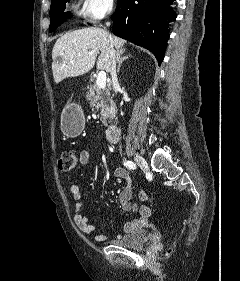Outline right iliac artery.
Returning <instances> with one entry per match:
<instances>
[{
  "label": "right iliac artery",
  "mask_w": 240,
  "mask_h": 281,
  "mask_svg": "<svg viewBox=\"0 0 240 281\" xmlns=\"http://www.w3.org/2000/svg\"><path fill=\"white\" fill-rule=\"evenodd\" d=\"M124 166H126L129 169H136V164L129 160L124 162Z\"/></svg>",
  "instance_id": "1"
}]
</instances>
